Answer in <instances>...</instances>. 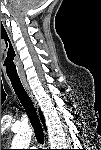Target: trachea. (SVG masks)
I'll list each match as a JSON object with an SVG mask.
<instances>
[{"label":"trachea","instance_id":"obj_1","mask_svg":"<svg viewBox=\"0 0 101 150\" xmlns=\"http://www.w3.org/2000/svg\"><path fill=\"white\" fill-rule=\"evenodd\" d=\"M10 81H11V84L13 86V89H14L18 99L20 100L22 106L25 109V112L28 115V118L34 129L35 137H36L38 143L44 144L43 129H42L39 117L37 115L36 109L31 101L28 93L24 89L20 79L10 78Z\"/></svg>","mask_w":101,"mask_h":150}]
</instances>
